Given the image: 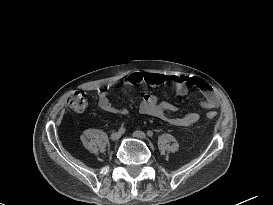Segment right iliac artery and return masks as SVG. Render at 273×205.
<instances>
[{
    "label": "right iliac artery",
    "mask_w": 273,
    "mask_h": 205,
    "mask_svg": "<svg viewBox=\"0 0 273 205\" xmlns=\"http://www.w3.org/2000/svg\"><path fill=\"white\" fill-rule=\"evenodd\" d=\"M126 131V128L121 126L118 130V132H120L121 134H123Z\"/></svg>",
    "instance_id": "1"
}]
</instances>
